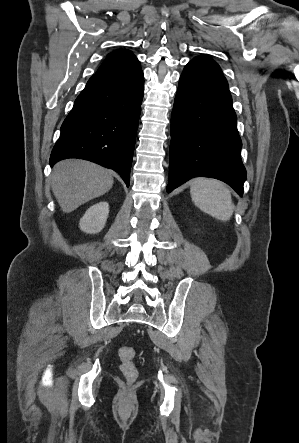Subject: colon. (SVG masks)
Returning a JSON list of instances; mask_svg holds the SVG:
<instances>
[{"label":"colon","mask_w":299,"mask_h":443,"mask_svg":"<svg viewBox=\"0 0 299 443\" xmlns=\"http://www.w3.org/2000/svg\"><path fill=\"white\" fill-rule=\"evenodd\" d=\"M134 357L135 351L132 347H122L119 349L121 372L129 381H134L138 376V371L134 364Z\"/></svg>","instance_id":"colon-1"}]
</instances>
